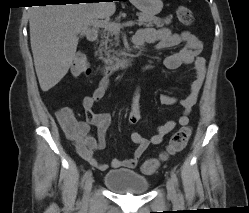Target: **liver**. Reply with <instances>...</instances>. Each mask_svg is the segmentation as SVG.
<instances>
[{
	"label": "liver",
	"mask_w": 249,
	"mask_h": 213,
	"mask_svg": "<svg viewBox=\"0 0 249 213\" xmlns=\"http://www.w3.org/2000/svg\"><path fill=\"white\" fill-rule=\"evenodd\" d=\"M113 2L33 6L29 10L30 43L42 91L67 74L79 41L91 22L115 13Z\"/></svg>",
	"instance_id": "liver-1"
}]
</instances>
